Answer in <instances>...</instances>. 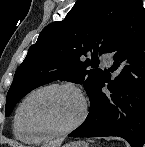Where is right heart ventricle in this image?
<instances>
[{
    "mask_svg": "<svg viewBox=\"0 0 145 147\" xmlns=\"http://www.w3.org/2000/svg\"><path fill=\"white\" fill-rule=\"evenodd\" d=\"M14 134L17 139H19L23 142L39 141V140H36L35 138H33L30 134L21 131L16 123V119L14 120Z\"/></svg>",
    "mask_w": 145,
    "mask_h": 147,
    "instance_id": "right-heart-ventricle-1",
    "label": "right heart ventricle"
}]
</instances>
